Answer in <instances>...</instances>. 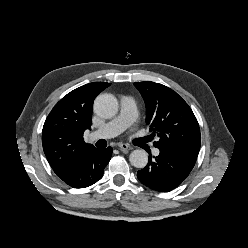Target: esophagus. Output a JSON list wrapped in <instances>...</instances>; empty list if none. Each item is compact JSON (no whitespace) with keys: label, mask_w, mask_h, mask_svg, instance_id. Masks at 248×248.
<instances>
[{"label":"esophagus","mask_w":248,"mask_h":248,"mask_svg":"<svg viewBox=\"0 0 248 248\" xmlns=\"http://www.w3.org/2000/svg\"><path fill=\"white\" fill-rule=\"evenodd\" d=\"M118 147H119V149H120L122 152H128L129 150L132 149V147H130L129 145L124 144V143L119 144Z\"/></svg>","instance_id":"esophagus-1"}]
</instances>
